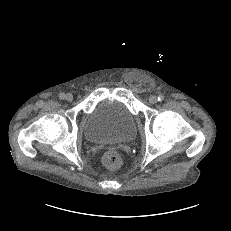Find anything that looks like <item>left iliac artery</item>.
Instances as JSON below:
<instances>
[{
    "instance_id": "44dca946",
    "label": "left iliac artery",
    "mask_w": 231,
    "mask_h": 231,
    "mask_svg": "<svg viewBox=\"0 0 231 231\" xmlns=\"http://www.w3.org/2000/svg\"><path fill=\"white\" fill-rule=\"evenodd\" d=\"M163 100H164V96H163V95H159V96H158V101L161 102V101H163Z\"/></svg>"
}]
</instances>
